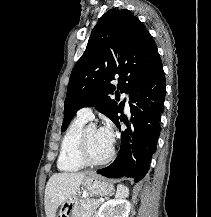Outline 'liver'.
<instances>
[{
	"mask_svg": "<svg viewBox=\"0 0 211 217\" xmlns=\"http://www.w3.org/2000/svg\"><path fill=\"white\" fill-rule=\"evenodd\" d=\"M84 178L85 173L80 172H62L50 177L44 198L46 217H56L58 207L78 191Z\"/></svg>",
	"mask_w": 211,
	"mask_h": 217,
	"instance_id": "1",
	"label": "liver"
}]
</instances>
